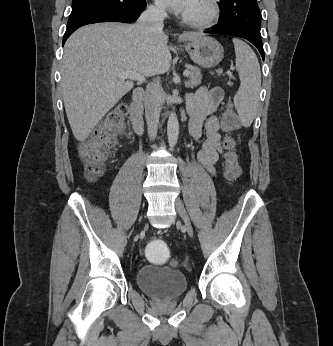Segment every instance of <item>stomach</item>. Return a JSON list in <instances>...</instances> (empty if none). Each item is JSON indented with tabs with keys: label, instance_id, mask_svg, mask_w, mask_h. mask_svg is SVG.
<instances>
[{
	"label": "stomach",
	"instance_id": "0dacf381",
	"mask_svg": "<svg viewBox=\"0 0 333 346\" xmlns=\"http://www.w3.org/2000/svg\"><path fill=\"white\" fill-rule=\"evenodd\" d=\"M191 59L199 66L211 68L224 57L222 45L211 37H201L184 45Z\"/></svg>",
	"mask_w": 333,
	"mask_h": 346
}]
</instances>
